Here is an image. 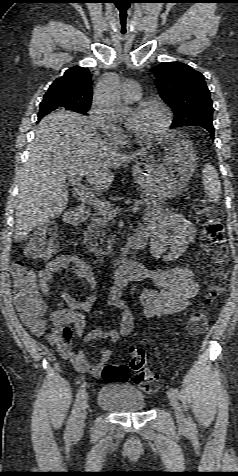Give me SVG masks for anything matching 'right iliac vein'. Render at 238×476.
<instances>
[{
  "label": "right iliac vein",
  "mask_w": 238,
  "mask_h": 476,
  "mask_svg": "<svg viewBox=\"0 0 238 476\" xmlns=\"http://www.w3.org/2000/svg\"><path fill=\"white\" fill-rule=\"evenodd\" d=\"M87 395L84 397V400L82 402L81 408L77 414L74 428H73V434L75 437L79 436L82 434L84 425H85V418H86V408H87Z\"/></svg>",
  "instance_id": "1"
}]
</instances>
